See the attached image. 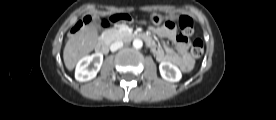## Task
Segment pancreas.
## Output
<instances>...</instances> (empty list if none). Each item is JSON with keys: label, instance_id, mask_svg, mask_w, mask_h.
I'll use <instances>...</instances> for the list:
<instances>
[{"label": "pancreas", "instance_id": "pancreas-1", "mask_svg": "<svg viewBox=\"0 0 276 120\" xmlns=\"http://www.w3.org/2000/svg\"><path fill=\"white\" fill-rule=\"evenodd\" d=\"M128 35L127 29L123 25H117L116 27L109 29L105 32V39L110 41L121 40Z\"/></svg>", "mask_w": 276, "mask_h": 120}]
</instances>
